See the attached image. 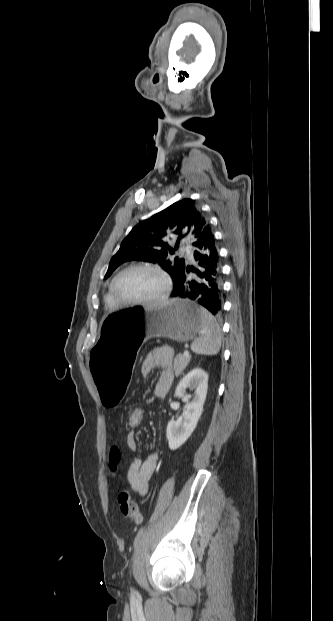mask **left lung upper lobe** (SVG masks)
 I'll use <instances>...</instances> for the list:
<instances>
[{"label":"left lung upper lobe","instance_id":"obj_1","mask_svg":"<svg viewBox=\"0 0 333 621\" xmlns=\"http://www.w3.org/2000/svg\"><path fill=\"white\" fill-rule=\"evenodd\" d=\"M206 226H209L208 221L195 206L194 200L183 199L175 202L132 229L122 241L119 251L111 258L105 279L122 263L137 260L159 264L169 273L174 283L177 273L185 269V260L175 258L171 261L168 258L169 254L164 247L171 254L174 249L168 247L164 238L168 234L178 235L175 246L177 249L181 238L188 236L194 243Z\"/></svg>","mask_w":333,"mask_h":621}]
</instances>
